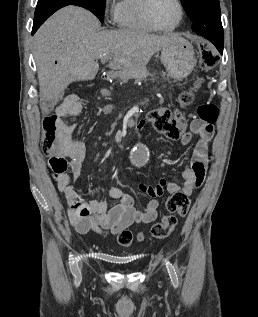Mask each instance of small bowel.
I'll use <instances>...</instances> for the list:
<instances>
[{"label": "small bowel", "instance_id": "obj_1", "mask_svg": "<svg viewBox=\"0 0 258 317\" xmlns=\"http://www.w3.org/2000/svg\"><path fill=\"white\" fill-rule=\"evenodd\" d=\"M84 104L71 95L57 107L62 117L63 143L61 152L49 159L58 191L68 202L67 215L77 232L85 234L90 231L98 234H118L134 223L148 224L156 220L159 197L164 189L170 193L182 192L190 195L193 189L202 184L210 163L209 142L213 136V125L195 118L186 133L180 138L181 145H187L196 138L189 166L182 171L183 183L161 179L156 185H140V190L151 199L143 209H137L134 198L119 187L110 190V196L116 201L109 204L101 200H86L76 189L83 161L86 156L85 143L73 137L69 119L81 113ZM145 121H140L137 128L141 130Z\"/></svg>", "mask_w": 258, "mask_h": 317}]
</instances>
